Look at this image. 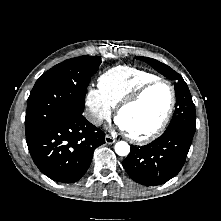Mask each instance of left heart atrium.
<instances>
[{"label": "left heart atrium", "mask_w": 221, "mask_h": 221, "mask_svg": "<svg viewBox=\"0 0 221 221\" xmlns=\"http://www.w3.org/2000/svg\"><path fill=\"white\" fill-rule=\"evenodd\" d=\"M120 126H121V128H123V126L121 125V123H120Z\"/></svg>", "instance_id": "39dd6f15"}]
</instances>
